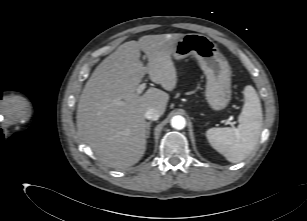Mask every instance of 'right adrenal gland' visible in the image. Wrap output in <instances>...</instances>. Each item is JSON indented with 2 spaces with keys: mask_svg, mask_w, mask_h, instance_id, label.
<instances>
[{
  "mask_svg": "<svg viewBox=\"0 0 307 221\" xmlns=\"http://www.w3.org/2000/svg\"><path fill=\"white\" fill-rule=\"evenodd\" d=\"M150 127H151V122H148L147 123V135H146V138L150 137Z\"/></svg>",
  "mask_w": 307,
  "mask_h": 221,
  "instance_id": "right-adrenal-gland-1",
  "label": "right adrenal gland"
}]
</instances>
